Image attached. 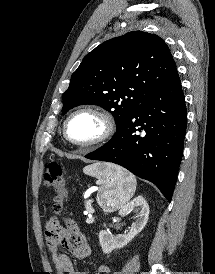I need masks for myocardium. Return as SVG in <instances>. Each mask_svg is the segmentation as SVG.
<instances>
[{
    "mask_svg": "<svg viewBox=\"0 0 215 274\" xmlns=\"http://www.w3.org/2000/svg\"><path fill=\"white\" fill-rule=\"evenodd\" d=\"M81 113H90V114L96 116L97 118L100 119V121L102 122V125H103V130L98 137H96L95 139H93L91 141L83 142V143L73 141L69 137L68 132H67V128H68V124H69L70 120L74 116L81 114ZM115 131H116V123H115L113 116L109 112H107L101 108L93 107V106H84V107H80V108L72 111L66 117V119L64 120V123H63L64 138L66 139V141L68 143H70L73 146L79 147V148H93V147L99 146V145L105 143L106 141H108L114 135Z\"/></svg>",
    "mask_w": 215,
    "mask_h": 274,
    "instance_id": "myocardium-1",
    "label": "myocardium"
}]
</instances>
